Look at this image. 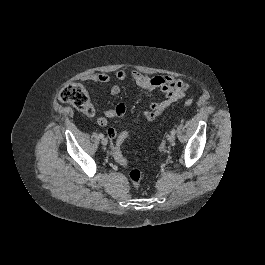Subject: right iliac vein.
Returning <instances> with one entry per match:
<instances>
[{"label": "right iliac vein", "mask_w": 265, "mask_h": 265, "mask_svg": "<svg viewBox=\"0 0 265 265\" xmlns=\"http://www.w3.org/2000/svg\"><path fill=\"white\" fill-rule=\"evenodd\" d=\"M107 143H108V140L106 138H102L101 144L105 146L107 145Z\"/></svg>", "instance_id": "right-iliac-vein-1"}]
</instances>
